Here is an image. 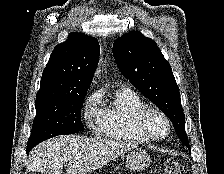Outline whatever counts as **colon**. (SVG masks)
Returning a JSON list of instances; mask_svg holds the SVG:
<instances>
[{"instance_id":"colon-1","label":"colon","mask_w":224,"mask_h":174,"mask_svg":"<svg viewBox=\"0 0 224 174\" xmlns=\"http://www.w3.org/2000/svg\"><path fill=\"white\" fill-rule=\"evenodd\" d=\"M184 165L175 160H168L165 163V174H184Z\"/></svg>"}]
</instances>
